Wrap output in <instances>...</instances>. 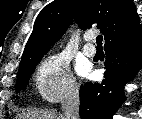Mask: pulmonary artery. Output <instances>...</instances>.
Wrapping results in <instances>:
<instances>
[{
    "label": "pulmonary artery",
    "mask_w": 142,
    "mask_h": 119,
    "mask_svg": "<svg viewBox=\"0 0 142 119\" xmlns=\"http://www.w3.org/2000/svg\"><path fill=\"white\" fill-rule=\"evenodd\" d=\"M91 40H92V35L90 34L86 35L85 36L86 44L82 48L83 53L88 57H92L96 53L95 47L92 44H90Z\"/></svg>",
    "instance_id": "pulmonary-artery-1"
}]
</instances>
